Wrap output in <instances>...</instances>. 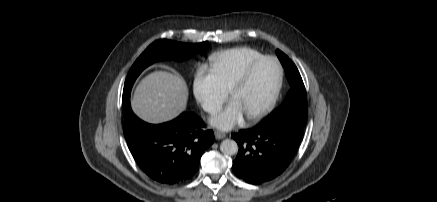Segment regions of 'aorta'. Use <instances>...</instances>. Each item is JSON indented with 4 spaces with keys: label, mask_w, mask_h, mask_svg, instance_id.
<instances>
[{
    "label": "aorta",
    "mask_w": 437,
    "mask_h": 202,
    "mask_svg": "<svg viewBox=\"0 0 437 202\" xmlns=\"http://www.w3.org/2000/svg\"><path fill=\"white\" fill-rule=\"evenodd\" d=\"M220 150L226 155H234L238 152V145L234 140L225 139L220 144Z\"/></svg>",
    "instance_id": "obj_1"
}]
</instances>
